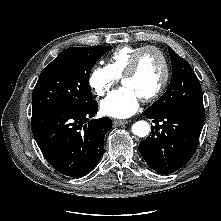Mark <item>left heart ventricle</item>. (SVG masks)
<instances>
[{"mask_svg": "<svg viewBox=\"0 0 221 221\" xmlns=\"http://www.w3.org/2000/svg\"><path fill=\"white\" fill-rule=\"evenodd\" d=\"M162 77V59L155 51H149L142 55L135 74L124 79L122 84L130 87L142 99L156 90Z\"/></svg>", "mask_w": 221, "mask_h": 221, "instance_id": "obj_1", "label": "left heart ventricle"}]
</instances>
